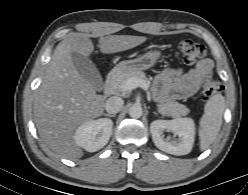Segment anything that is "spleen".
<instances>
[{
	"label": "spleen",
	"mask_w": 248,
	"mask_h": 195,
	"mask_svg": "<svg viewBox=\"0 0 248 195\" xmlns=\"http://www.w3.org/2000/svg\"><path fill=\"white\" fill-rule=\"evenodd\" d=\"M225 98L213 95L205 104L204 114L199 122L200 149L206 150L216 139L222 125Z\"/></svg>",
	"instance_id": "obj_1"
}]
</instances>
